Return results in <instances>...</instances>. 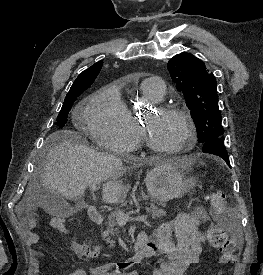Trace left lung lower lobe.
I'll use <instances>...</instances> for the list:
<instances>
[{
	"instance_id": "1",
	"label": "left lung lower lobe",
	"mask_w": 263,
	"mask_h": 275,
	"mask_svg": "<svg viewBox=\"0 0 263 275\" xmlns=\"http://www.w3.org/2000/svg\"><path fill=\"white\" fill-rule=\"evenodd\" d=\"M203 152L217 155L225 160L227 165L230 166L229 155L226 151L224 143L220 138L213 139L203 145Z\"/></svg>"
}]
</instances>
